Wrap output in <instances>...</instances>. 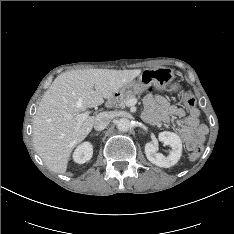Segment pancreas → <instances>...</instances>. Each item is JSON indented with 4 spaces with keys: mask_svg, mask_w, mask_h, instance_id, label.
<instances>
[{
    "mask_svg": "<svg viewBox=\"0 0 234 234\" xmlns=\"http://www.w3.org/2000/svg\"><path fill=\"white\" fill-rule=\"evenodd\" d=\"M131 99H135L134 95H126L120 97L118 100H116L113 105L116 107L124 108L127 105V102Z\"/></svg>",
    "mask_w": 234,
    "mask_h": 234,
    "instance_id": "pancreas-1",
    "label": "pancreas"
}]
</instances>
